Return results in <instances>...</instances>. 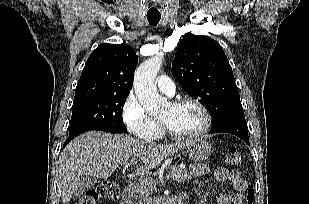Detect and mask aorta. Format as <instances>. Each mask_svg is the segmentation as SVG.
<instances>
[{
    "label": "aorta",
    "instance_id": "1",
    "mask_svg": "<svg viewBox=\"0 0 309 204\" xmlns=\"http://www.w3.org/2000/svg\"><path fill=\"white\" fill-rule=\"evenodd\" d=\"M163 62V55L158 54L140 64L134 74V88L139 102L149 113L159 112L166 104L154 84V80Z\"/></svg>",
    "mask_w": 309,
    "mask_h": 204
}]
</instances>
